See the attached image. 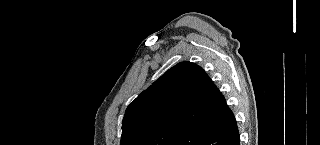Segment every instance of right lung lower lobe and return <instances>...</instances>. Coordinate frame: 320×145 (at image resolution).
Returning a JSON list of instances; mask_svg holds the SVG:
<instances>
[{
    "label": "right lung lower lobe",
    "instance_id": "obj_1",
    "mask_svg": "<svg viewBox=\"0 0 320 145\" xmlns=\"http://www.w3.org/2000/svg\"><path fill=\"white\" fill-rule=\"evenodd\" d=\"M208 120L182 129L167 145H239L237 123L225 99Z\"/></svg>",
    "mask_w": 320,
    "mask_h": 145
}]
</instances>
